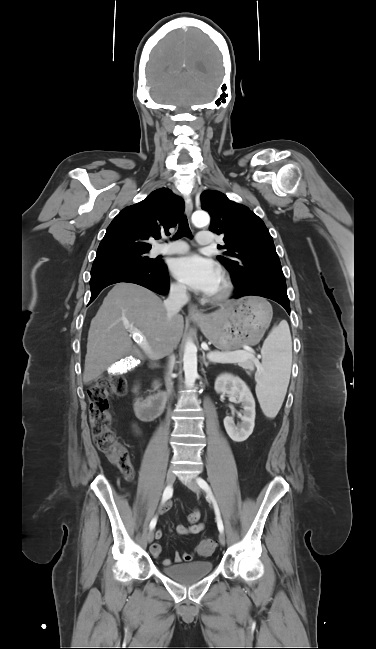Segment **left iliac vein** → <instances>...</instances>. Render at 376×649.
<instances>
[{
	"mask_svg": "<svg viewBox=\"0 0 376 649\" xmlns=\"http://www.w3.org/2000/svg\"><path fill=\"white\" fill-rule=\"evenodd\" d=\"M186 485L194 493H196V494L200 493V487L194 480L190 479V480L186 481ZM219 542H220L221 545H225L226 539H225V534L223 532H220V534H219Z\"/></svg>",
	"mask_w": 376,
	"mask_h": 649,
	"instance_id": "obj_1",
	"label": "left iliac vein"
}]
</instances>
